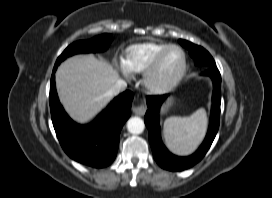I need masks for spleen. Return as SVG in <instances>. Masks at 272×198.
<instances>
[{
    "mask_svg": "<svg viewBox=\"0 0 272 198\" xmlns=\"http://www.w3.org/2000/svg\"><path fill=\"white\" fill-rule=\"evenodd\" d=\"M207 128L204 108L187 117L172 116L164 122V138L168 148L179 155L192 153L201 143Z\"/></svg>",
    "mask_w": 272,
    "mask_h": 198,
    "instance_id": "spleen-1",
    "label": "spleen"
}]
</instances>
